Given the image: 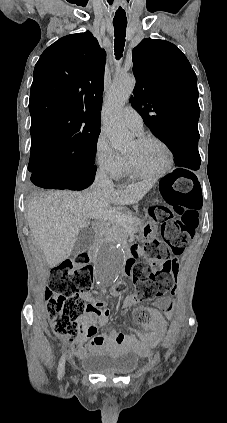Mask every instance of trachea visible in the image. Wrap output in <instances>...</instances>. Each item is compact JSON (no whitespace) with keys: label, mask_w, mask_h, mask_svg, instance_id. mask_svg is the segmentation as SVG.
I'll list each match as a JSON object with an SVG mask.
<instances>
[{"label":"trachea","mask_w":227,"mask_h":423,"mask_svg":"<svg viewBox=\"0 0 227 423\" xmlns=\"http://www.w3.org/2000/svg\"><path fill=\"white\" fill-rule=\"evenodd\" d=\"M113 26H114V36H115V40H114L115 57L116 59L119 60L122 57L124 46H125L127 19L114 18Z\"/></svg>","instance_id":"3493384b"}]
</instances>
